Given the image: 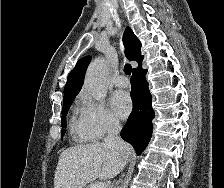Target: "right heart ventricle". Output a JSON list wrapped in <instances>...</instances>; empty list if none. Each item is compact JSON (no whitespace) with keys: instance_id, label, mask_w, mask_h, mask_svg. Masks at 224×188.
<instances>
[{"instance_id":"1","label":"right heart ventricle","mask_w":224,"mask_h":188,"mask_svg":"<svg viewBox=\"0 0 224 188\" xmlns=\"http://www.w3.org/2000/svg\"><path fill=\"white\" fill-rule=\"evenodd\" d=\"M71 130L74 136V139L78 142H88L93 138L89 134V132L85 129L81 116L74 115L70 122Z\"/></svg>"}]
</instances>
